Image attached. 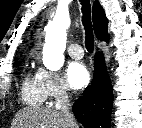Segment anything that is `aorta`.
Returning a JSON list of instances; mask_svg holds the SVG:
<instances>
[{
    "label": "aorta",
    "instance_id": "obj_1",
    "mask_svg": "<svg viewBox=\"0 0 142 128\" xmlns=\"http://www.w3.org/2000/svg\"><path fill=\"white\" fill-rule=\"evenodd\" d=\"M70 18L67 13H57L45 28V44L43 47L44 65L51 71H58L64 63L67 29Z\"/></svg>",
    "mask_w": 142,
    "mask_h": 128
}]
</instances>
